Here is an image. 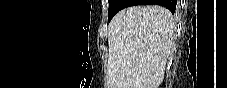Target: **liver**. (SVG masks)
Wrapping results in <instances>:
<instances>
[{
	"mask_svg": "<svg viewBox=\"0 0 227 88\" xmlns=\"http://www.w3.org/2000/svg\"><path fill=\"white\" fill-rule=\"evenodd\" d=\"M175 21L159 5L132 6L109 23L107 88H158L172 54Z\"/></svg>",
	"mask_w": 227,
	"mask_h": 88,
	"instance_id": "obj_1",
	"label": "liver"
}]
</instances>
